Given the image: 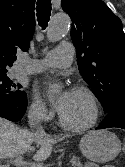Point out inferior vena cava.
Returning <instances> with one entry per match:
<instances>
[{
	"instance_id": "1",
	"label": "inferior vena cava",
	"mask_w": 125,
	"mask_h": 167,
	"mask_svg": "<svg viewBox=\"0 0 125 167\" xmlns=\"http://www.w3.org/2000/svg\"><path fill=\"white\" fill-rule=\"evenodd\" d=\"M41 120V111L38 109H32L28 113V123L31 128H36V133L43 135L45 131L43 127L40 125Z\"/></svg>"
}]
</instances>
